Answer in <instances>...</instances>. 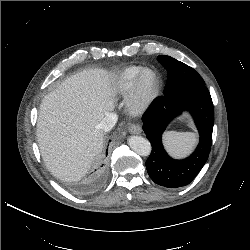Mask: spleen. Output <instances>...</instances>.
Masks as SVG:
<instances>
[{"mask_svg": "<svg viewBox=\"0 0 250 250\" xmlns=\"http://www.w3.org/2000/svg\"><path fill=\"white\" fill-rule=\"evenodd\" d=\"M167 149L176 156L188 153L195 145L197 138L192 132L168 131L164 135Z\"/></svg>", "mask_w": 250, "mask_h": 250, "instance_id": "obj_1", "label": "spleen"}]
</instances>
